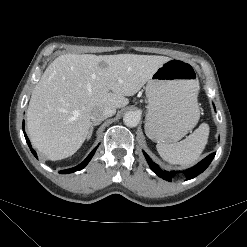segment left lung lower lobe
Wrapping results in <instances>:
<instances>
[{
  "label": "left lung lower lobe",
  "instance_id": "0a47b994",
  "mask_svg": "<svg viewBox=\"0 0 247 247\" xmlns=\"http://www.w3.org/2000/svg\"><path fill=\"white\" fill-rule=\"evenodd\" d=\"M143 153L145 155V158H146L151 170L154 173H156L159 177H161L167 181H171L172 177L177 172L162 171L155 163H153V161L150 159V157L145 152H143ZM215 154L216 153H212V154L208 155L204 160L199 162L194 167L186 170V172L183 171V173H185L187 175V177H186L187 180L192 179V178L196 177L197 175H199L200 173H202L209 166V164L213 160Z\"/></svg>",
  "mask_w": 247,
  "mask_h": 247
}]
</instances>
